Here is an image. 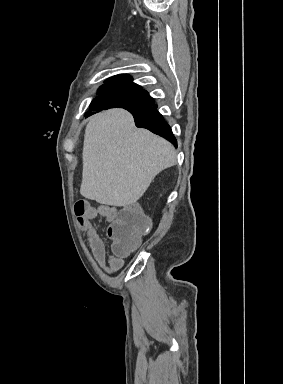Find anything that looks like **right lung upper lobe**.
Returning <instances> with one entry per match:
<instances>
[{
  "instance_id": "obj_1",
  "label": "right lung upper lobe",
  "mask_w": 283,
  "mask_h": 384,
  "mask_svg": "<svg viewBox=\"0 0 283 384\" xmlns=\"http://www.w3.org/2000/svg\"><path fill=\"white\" fill-rule=\"evenodd\" d=\"M103 86H112V87H126V88H135L143 90L139 85L132 82V78L128 75H117L112 78H109L105 81Z\"/></svg>"
}]
</instances>
